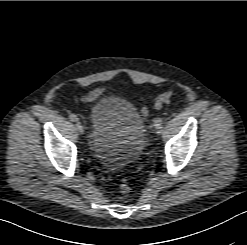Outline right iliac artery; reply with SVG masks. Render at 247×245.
I'll list each match as a JSON object with an SVG mask.
<instances>
[{"label": "right iliac artery", "instance_id": "1", "mask_svg": "<svg viewBox=\"0 0 247 245\" xmlns=\"http://www.w3.org/2000/svg\"><path fill=\"white\" fill-rule=\"evenodd\" d=\"M69 119H70L71 121H78V117H77L75 114H70V115H69Z\"/></svg>", "mask_w": 247, "mask_h": 245}]
</instances>
